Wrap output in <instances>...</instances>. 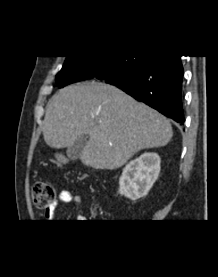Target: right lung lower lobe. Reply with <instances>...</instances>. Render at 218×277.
Segmentation results:
<instances>
[{
  "instance_id": "98d812e1",
  "label": "right lung lower lobe",
  "mask_w": 218,
  "mask_h": 277,
  "mask_svg": "<svg viewBox=\"0 0 218 277\" xmlns=\"http://www.w3.org/2000/svg\"><path fill=\"white\" fill-rule=\"evenodd\" d=\"M92 78L102 79L87 73L81 80ZM182 79L180 56H152L127 82L110 84L183 125Z\"/></svg>"
}]
</instances>
